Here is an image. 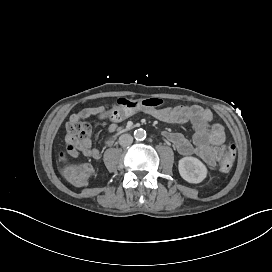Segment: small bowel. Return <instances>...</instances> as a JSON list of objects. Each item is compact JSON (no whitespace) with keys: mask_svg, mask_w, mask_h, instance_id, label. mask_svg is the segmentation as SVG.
<instances>
[{"mask_svg":"<svg viewBox=\"0 0 272 272\" xmlns=\"http://www.w3.org/2000/svg\"><path fill=\"white\" fill-rule=\"evenodd\" d=\"M110 110L109 105L91 107L93 117L104 118ZM152 117L174 125H191L194 129L192 140L178 132L165 131L163 136L182 156L196 155L208 166L216 165L214 148L225 139V130L220 123H212L213 113L200 105H177L141 110ZM133 114V113H132ZM90 131V129H88ZM82 155L93 160L101 158V152L93 147L89 151L78 150Z\"/></svg>","mask_w":272,"mask_h":272,"instance_id":"obj_1","label":"small bowel"}]
</instances>
